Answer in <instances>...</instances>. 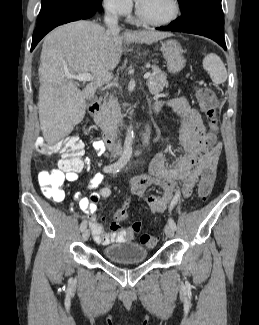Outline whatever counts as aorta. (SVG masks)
Returning <instances> with one entry per match:
<instances>
[{
    "label": "aorta",
    "mask_w": 259,
    "mask_h": 325,
    "mask_svg": "<svg viewBox=\"0 0 259 325\" xmlns=\"http://www.w3.org/2000/svg\"><path fill=\"white\" fill-rule=\"evenodd\" d=\"M134 131H133V127H132V125H130L129 127H128V130H127V138L128 139H130V140H132V139H134Z\"/></svg>",
    "instance_id": "762f6f07"
}]
</instances>
